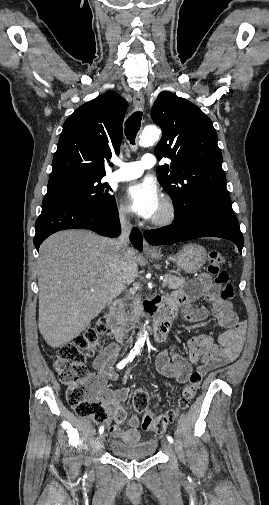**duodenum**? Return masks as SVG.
I'll list each match as a JSON object with an SVG mask.
<instances>
[{"mask_svg":"<svg viewBox=\"0 0 269 505\" xmlns=\"http://www.w3.org/2000/svg\"><path fill=\"white\" fill-rule=\"evenodd\" d=\"M123 307V301L121 299L116 300L110 307L107 317V324L118 342L126 340L129 329L123 317ZM174 310V307L165 299L161 302L160 310L152 325L153 337L156 341L160 342L166 339Z\"/></svg>","mask_w":269,"mask_h":505,"instance_id":"1","label":"duodenum"}]
</instances>
